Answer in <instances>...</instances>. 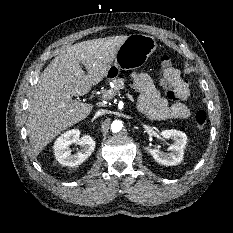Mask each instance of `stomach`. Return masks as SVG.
I'll list each match as a JSON object with an SVG mask.
<instances>
[{"mask_svg": "<svg viewBox=\"0 0 233 233\" xmlns=\"http://www.w3.org/2000/svg\"><path fill=\"white\" fill-rule=\"evenodd\" d=\"M154 37L145 34H131L117 50L114 65L117 72L143 65L156 50Z\"/></svg>", "mask_w": 233, "mask_h": 233, "instance_id": "stomach-1", "label": "stomach"}]
</instances>
